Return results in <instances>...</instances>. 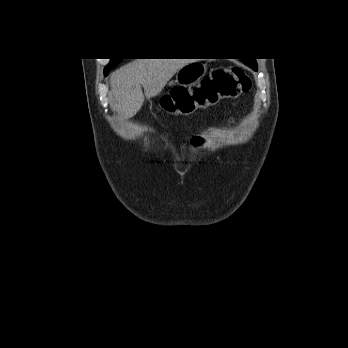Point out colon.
<instances>
[{"label":"colon","instance_id":"obj_1","mask_svg":"<svg viewBox=\"0 0 348 348\" xmlns=\"http://www.w3.org/2000/svg\"><path fill=\"white\" fill-rule=\"evenodd\" d=\"M251 89L249 75L240 67H218L206 73L198 84L177 87L165 95L161 107L168 113H185L197 107L196 96L203 94L206 100H222L236 97Z\"/></svg>","mask_w":348,"mask_h":348}]
</instances>
